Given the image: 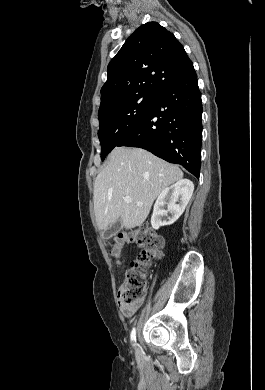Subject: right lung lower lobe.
<instances>
[{"instance_id":"obj_1","label":"right lung lower lobe","mask_w":265,"mask_h":390,"mask_svg":"<svg viewBox=\"0 0 265 390\" xmlns=\"http://www.w3.org/2000/svg\"><path fill=\"white\" fill-rule=\"evenodd\" d=\"M202 101L191 63L155 94L147 113L118 143L180 164L199 178Z\"/></svg>"}]
</instances>
